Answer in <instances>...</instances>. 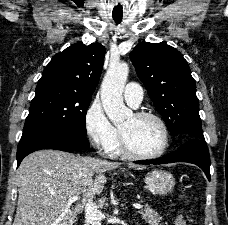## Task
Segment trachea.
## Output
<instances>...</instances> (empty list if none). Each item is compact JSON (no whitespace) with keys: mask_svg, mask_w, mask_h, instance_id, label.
<instances>
[{"mask_svg":"<svg viewBox=\"0 0 228 225\" xmlns=\"http://www.w3.org/2000/svg\"><path fill=\"white\" fill-rule=\"evenodd\" d=\"M117 24L121 22V19H114Z\"/></svg>","mask_w":228,"mask_h":225,"instance_id":"obj_1","label":"trachea"}]
</instances>
